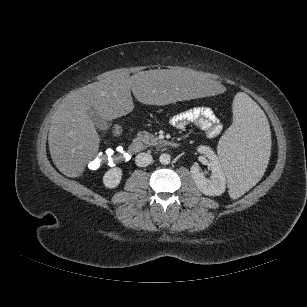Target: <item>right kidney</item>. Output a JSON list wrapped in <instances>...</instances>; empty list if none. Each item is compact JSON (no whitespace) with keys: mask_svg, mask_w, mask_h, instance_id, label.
Listing matches in <instances>:
<instances>
[{"mask_svg":"<svg viewBox=\"0 0 307 307\" xmlns=\"http://www.w3.org/2000/svg\"><path fill=\"white\" fill-rule=\"evenodd\" d=\"M122 179V170L119 167H114L108 170L103 176V183L107 188H116Z\"/></svg>","mask_w":307,"mask_h":307,"instance_id":"ca27d5eb","label":"right kidney"}]
</instances>
